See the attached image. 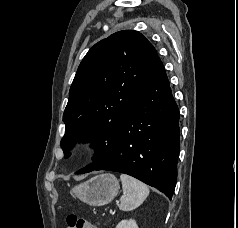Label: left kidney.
<instances>
[{"label": "left kidney", "instance_id": "5707ae66", "mask_svg": "<svg viewBox=\"0 0 238 228\" xmlns=\"http://www.w3.org/2000/svg\"><path fill=\"white\" fill-rule=\"evenodd\" d=\"M116 228H138V226L135 220L130 219V220H122L121 222L118 223Z\"/></svg>", "mask_w": 238, "mask_h": 228}]
</instances>
